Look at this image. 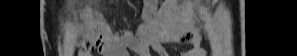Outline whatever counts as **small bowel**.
<instances>
[{"mask_svg": "<svg viewBox=\"0 0 297 56\" xmlns=\"http://www.w3.org/2000/svg\"><path fill=\"white\" fill-rule=\"evenodd\" d=\"M181 3L173 0H167L164 2L162 16H169L172 10ZM153 6L152 2L147 3V10L149 11ZM168 41H180L183 43L189 42L193 45V48L188 52L182 54V56H204L205 50L201 48V42L203 38L195 32L188 31L182 26L177 27V35L169 37ZM152 48L155 52L161 56L165 55V51L162 47V41L154 37L148 30L140 37H135L133 34L127 33L118 36L114 41L105 44L100 53L103 56H112L118 52L125 56V49L131 50L137 56H150L149 48ZM84 56V54H80Z\"/></svg>", "mask_w": 297, "mask_h": 56, "instance_id": "c3829d8e", "label": "small bowel"}]
</instances>
